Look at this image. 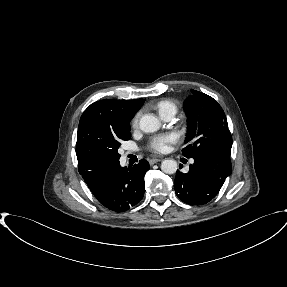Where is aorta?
Listing matches in <instances>:
<instances>
[{
  "label": "aorta",
  "mask_w": 287,
  "mask_h": 287,
  "mask_svg": "<svg viewBox=\"0 0 287 287\" xmlns=\"http://www.w3.org/2000/svg\"><path fill=\"white\" fill-rule=\"evenodd\" d=\"M139 127L143 132L152 133L159 130L160 121L153 114H145L140 119ZM177 169V162L173 159H165L161 163V170L166 174H174Z\"/></svg>",
  "instance_id": "obj_1"
}]
</instances>
